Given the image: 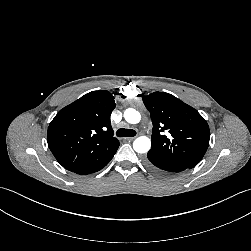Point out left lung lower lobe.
<instances>
[{"instance_id": "0a47b994", "label": "left lung lower lobe", "mask_w": 251, "mask_h": 251, "mask_svg": "<svg viewBox=\"0 0 251 251\" xmlns=\"http://www.w3.org/2000/svg\"><path fill=\"white\" fill-rule=\"evenodd\" d=\"M146 165L149 169L162 176H172L187 169H190L179 162L163 158L151 153L147 154Z\"/></svg>"}]
</instances>
